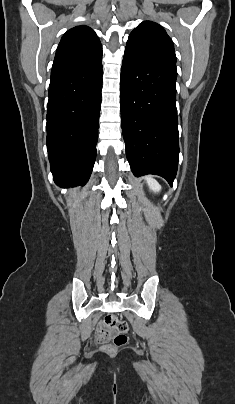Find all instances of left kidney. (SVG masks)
<instances>
[{
  "mask_svg": "<svg viewBox=\"0 0 235 404\" xmlns=\"http://www.w3.org/2000/svg\"><path fill=\"white\" fill-rule=\"evenodd\" d=\"M146 182L150 188V190H152L153 192H159L161 190V186L159 185V183L151 178H146Z\"/></svg>",
  "mask_w": 235,
  "mask_h": 404,
  "instance_id": "left-kidney-1",
  "label": "left kidney"
}]
</instances>
